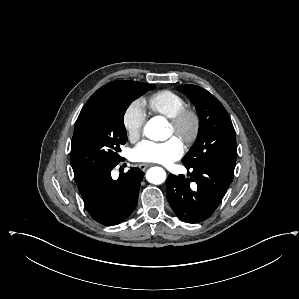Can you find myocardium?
Returning a JSON list of instances; mask_svg holds the SVG:
<instances>
[{
    "label": "myocardium",
    "instance_id": "obj_1",
    "mask_svg": "<svg viewBox=\"0 0 299 299\" xmlns=\"http://www.w3.org/2000/svg\"><path fill=\"white\" fill-rule=\"evenodd\" d=\"M170 125L174 134L185 144H192L199 133L200 117L198 112L189 106L182 108L173 118Z\"/></svg>",
    "mask_w": 299,
    "mask_h": 299
}]
</instances>
